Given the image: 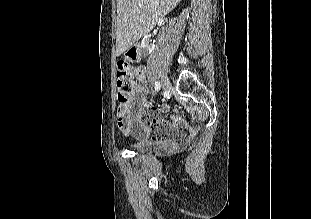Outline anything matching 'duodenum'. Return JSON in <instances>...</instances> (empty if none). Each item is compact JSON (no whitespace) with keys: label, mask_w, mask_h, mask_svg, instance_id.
Here are the masks:
<instances>
[{"label":"duodenum","mask_w":311,"mask_h":219,"mask_svg":"<svg viewBox=\"0 0 311 219\" xmlns=\"http://www.w3.org/2000/svg\"><path fill=\"white\" fill-rule=\"evenodd\" d=\"M133 57L134 58H138L139 57V54H138V52H137V50L135 49V48H133Z\"/></svg>","instance_id":"duodenum-1"}]
</instances>
